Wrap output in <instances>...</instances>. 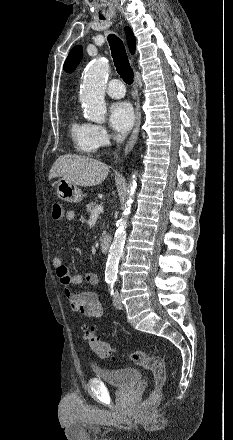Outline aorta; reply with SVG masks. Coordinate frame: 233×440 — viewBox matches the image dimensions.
I'll use <instances>...</instances> for the list:
<instances>
[{
    "mask_svg": "<svg viewBox=\"0 0 233 440\" xmlns=\"http://www.w3.org/2000/svg\"><path fill=\"white\" fill-rule=\"evenodd\" d=\"M107 61L99 58L92 62L86 69L82 81L80 99L84 106L86 118L92 122L104 123L107 113L105 103L106 79L109 73ZM136 182L129 184L127 190V201L118 221V228L114 235V240L110 246L106 263L105 277L108 280H115L117 277L118 263L123 255L126 240V228L128 216L131 212V204L135 194Z\"/></svg>",
    "mask_w": 233,
    "mask_h": 440,
    "instance_id": "762f6f07",
    "label": "aorta"
}]
</instances>
